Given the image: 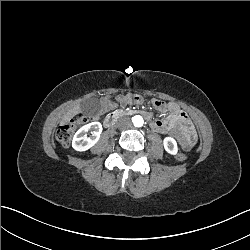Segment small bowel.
<instances>
[{
    "mask_svg": "<svg viewBox=\"0 0 250 250\" xmlns=\"http://www.w3.org/2000/svg\"><path fill=\"white\" fill-rule=\"evenodd\" d=\"M136 95L127 94L120 95L116 100L109 96H104L100 99V112L113 110L117 107L118 103L121 105H132L139 104L141 102H135L134 97ZM153 105L161 110V112L168 111L171 113L172 118H170V123L165 124L161 120H154L151 123V128L159 133H171L175 137L182 140V145L184 148L190 147L196 138V132L193 128L189 118L186 113L180 110L179 106L175 103H165L161 100L155 99ZM150 117L148 113L145 115Z\"/></svg>",
    "mask_w": 250,
    "mask_h": 250,
    "instance_id": "small-bowel-1",
    "label": "small bowel"
}]
</instances>
